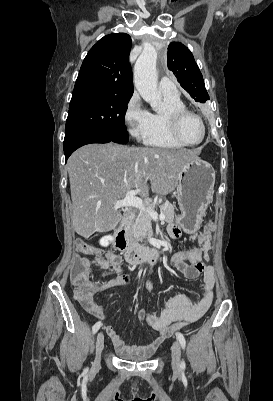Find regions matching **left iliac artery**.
Returning <instances> with one entry per match:
<instances>
[{"label": "left iliac artery", "mask_w": 273, "mask_h": 401, "mask_svg": "<svg viewBox=\"0 0 273 401\" xmlns=\"http://www.w3.org/2000/svg\"><path fill=\"white\" fill-rule=\"evenodd\" d=\"M176 336H177V338L179 340V343H180L181 347L184 349L185 346H186V341H185V338H184L183 334L180 333V332H177ZM181 368L182 369L185 368V362L184 361L181 362Z\"/></svg>", "instance_id": "left-iliac-artery-1"}]
</instances>
